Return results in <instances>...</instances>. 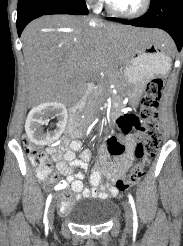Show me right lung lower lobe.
Listing matches in <instances>:
<instances>
[{"mask_svg":"<svg viewBox=\"0 0 183 246\" xmlns=\"http://www.w3.org/2000/svg\"><path fill=\"white\" fill-rule=\"evenodd\" d=\"M87 13V7L83 0H18L17 32L20 36L30 21L43 15Z\"/></svg>","mask_w":183,"mask_h":246,"instance_id":"1","label":"right lung lower lobe"}]
</instances>
